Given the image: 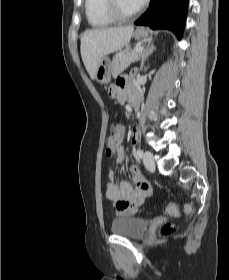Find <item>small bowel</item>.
<instances>
[{"label":"small bowel","instance_id":"obj_1","mask_svg":"<svg viewBox=\"0 0 229 280\" xmlns=\"http://www.w3.org/2000/svg\"><path fill=\"white\" fill-rule=\"evenodd\" d=\"M133 94H139V92L135 84L132 82V76L128 74L118 77L115 83L108 87L109 97L119 103H124L128 97ZM137 137L138 129L134 127L132 131L133 143H136ZM113 154L118 164L124 162L125 157L123 147L118 146ZM129 174L136 185L135 188L131 187L125 181L116 184L114 170L110 169L108 172L106 189L107 197L110 200L116 215L121 217L132 215L142 205L145 197L151 193L149 183L144 179L137 166H131ZM125 199H132V203L125 207L120 206L118 202Z\"/></svg>","mask_w":229,"mask_h":280}]
</instances>
